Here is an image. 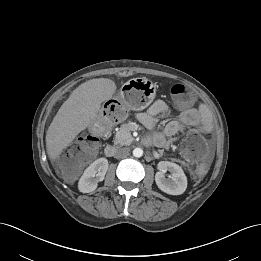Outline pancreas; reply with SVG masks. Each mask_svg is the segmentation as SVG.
Masks as SVG:
<instances>
[{
    "label": "pancreas",
    "mask_w": 261,
    "mask_h": 261,
    "mask_svg": "<svg viewBox=\"0 0 261 261\" xmlns=\"http://www.w3.org/2000/svg\"><path fill=\"white\" fill-rule=\"evenodd\" d=\"M131 122L123 123L119 130L116 132L115 138H114V144L116 145H130L134 138L131 135Z\"/></svg>",
    "instance_id": "obj_1"
}]
</instances>
